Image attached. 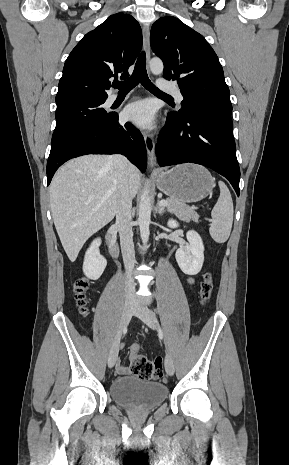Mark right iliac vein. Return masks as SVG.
I'll return each instance as SVG.
<instances>
[{
  "mask_svg": "<svg viewBox=\"0 0 289 465\" xmlns=\"http://www.w3.org/2000/svg\"><path fill=\"white\" fill-rule=\"evenodd\" d=\"M134 311V304L132 300H126L124 305H123V310H122V316H121V323H120V328L119 332L117 335L116 340L114 341L109 355H108V366L111 368L115 365V362L117 360L118 352H119V343H120V336L123 331V329L126 327V325L129 323L132 314Z\"/></svg>",
  "mask_w": 289,
  "mask_h": 465,
  "instance_id": "1",
  "label": "right iliac vein"
}]
</instances>
